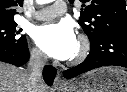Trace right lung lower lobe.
Instances as JSON below:
<instances>
[{"mask_svg": "<svg viewBox=\"0 0 127 92\" xmlns=\"http://www.w3.org/2000/svg\"><path fill=\"white\" fill-rule=\"evenodd\" d=\"M29 59L27 43L21 47L11 44L0 43V61L13 64L15 66L24 65ZM44 80L48 85L53 83L56 76V69L47 65L43 70Z\"/></svg>", "mask_w": 127, "mask_h": 92, "instance_id": "98d812e1", "label": "right lung lower lobe"}]
</instances>
